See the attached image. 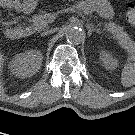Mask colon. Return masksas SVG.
<instances>
[{
  "instance_id": "5ec220e1",
  "label": "colon",
  "mask_w": 135,
  "mask_h": 135,
  "mask_svg": "<svg viewBox=\"0 0 135 135\" xmlns=\"http://www.w3.org/2000/svg\"><path fill=\"white\" fill-rule=\"evenodd\" d=\"M126 18L131 25L135 26V4H128L126 10Z\"/></svg>"
}]
</instances>
